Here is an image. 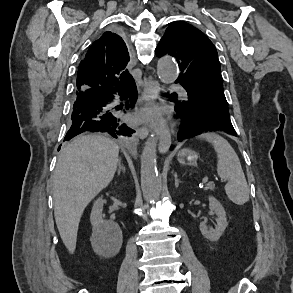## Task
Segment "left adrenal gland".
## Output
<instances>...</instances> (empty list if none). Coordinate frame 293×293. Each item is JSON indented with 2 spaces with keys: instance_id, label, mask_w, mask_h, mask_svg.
<instances>
[{
  "instance_id": "left-adrenal-gland-1",
  "label": "left adrenal gland",
  "mask_w": 293,
  "mask_h": 293,
  "mask_svg": "<svg viewBox=\"0 0 293 293\" xmlns=\"http://www.w3.org/2000/svg\"><path fill=\"white\" fill-rule=\"evenodd\" d=\"M174 178H175V187L178 188L179 183H181V181L178 179L177 173H174Z\"/></svg>"
}]
</instances>
